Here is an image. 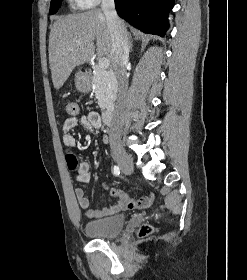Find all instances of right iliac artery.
I'll use <instances>...</instances> for the list:
<instances>
[{"instance_id": "1", "label": "right iliac artery", "mask_w": 247, "mask_h": 280, "mask_svg": "<svg viewBox=\"0 0 247 280\" xmlns=\"http://www.w3.org/2000/svg\"><path fill=\"white\" fill-rule=\"evenodd\" d=\"M113 173H114V175H116V176H118V175L120 174V169H119L118 166H114V168H113Z\"/></svg>"}]
</instances>
